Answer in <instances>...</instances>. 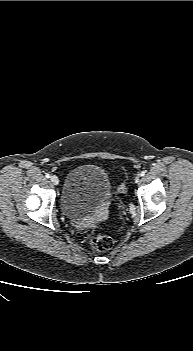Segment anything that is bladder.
<instances>
[{"label": "bladder", "mask_w": 193, "mask_h": 351, "mask_svg": "<svg viewBox=\"0 0 193 351\" xmlns=\"http://www.w3.org/2000/svg\"><path fill=\"white\" fill-rule=\"evenodd\" d=\"M113 199L114 189L106 170L98 165L85 164L68 173L60 203L67 218L78 220L95 216Z\"/></svg>", "instance_id": "obj_1"}]
</instances>
